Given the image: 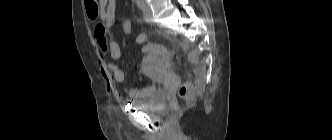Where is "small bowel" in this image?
<instances>
[{
  "mask_svg": "<svg viewBox=\"0 0 332 140\" xmlns=\"http://www.w3.org/2000/svg\"><path fill=\"white\" fill-rule=\"evenodd\" d=\"M100 11L96 16L99 22L94 27V37L101 50L102 56H108L110 60L108 62L101 63L102 76L106 81V86L109 91L116 92L115 83H123L125 80V73L119 67L118 60L121 56L120 46L114 36L113 27L115 22L116 14V0H99ZM147 36L144 33L137 35L135 42L138 45H142L141 51L148 53L151 51L152 46L145 44ZM147 86L139 88H132L128 91V97L130 99L138 98L146 93Z\"/></svg>",
  "mask_w": 332,
  "mask_h": 140,
  "instance_id": "obj_1",
  "label": "small bowel"
}]
</instances>
